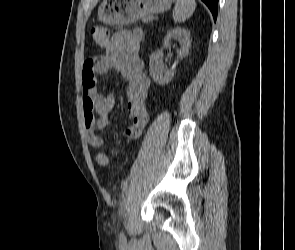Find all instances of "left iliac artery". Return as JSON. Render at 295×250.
<instances>
[{"instance_id": "left-iliac-artery-1", "label": "left iliac artery", "mask_w": 295, "mask_h": 250, "mask_svg": "<svg viewBox=\"0 0 295 250\" xmlns=\"http://www.w3.org/2000/svg\"><path fill=\"white\" fill-rule=\"evenodd\" d=\"M120 238H121V239H124V238H125V236H124L123 233L120 234Z\"/></svg>"}]
</instances>
